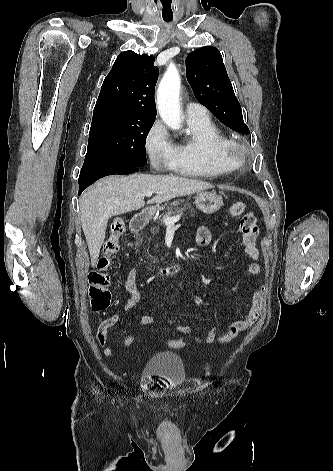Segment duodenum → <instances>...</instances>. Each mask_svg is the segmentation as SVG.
Here are the masks:
<instances>
[{"label": "duodenum", "mask_w": 333, "mask_h": 471, "mask_svg": "<svg viewBox=\"0 0 333 471\" xmlns=\"http://www.w3.org/2000/svg\"><path fill=\"white\" fill-rule=\"evenodd\" d=\"M148 222V213L143 211L135 215L130 222V232L135 235L140 230H142ZM182 270V265L180 263H175L166 267H163L159 270V273L164 276H173L180 273Z\"/></svg>", "instance_id": "1"}]
</instances>
